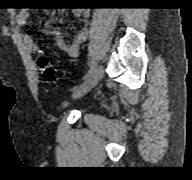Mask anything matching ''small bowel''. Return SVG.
Here are the masks:
<instances>
[{
	"mask_svg": "<svg viewBox=\"0 0 192 180\" xmlns=\"http://www.w3.org/2000/svg\"><path fill=\"white\" fill-rule=\"evenodd\" d=\"M73 16L76 18H79L81 15H84V17H87L89 12L88 11H82L79 8H74L72 10ZM28 10L27 9H21L18 11L16 15V21L19 25L23 26L27 24L28 20ZM50 34H53L56 38V45L63 50L68 56L72 58H76L80 54L81 46L82 44L88 39L89 33L87 28L83 27L72 39V41L69 44H66L60 31L52 28L48 31ZM22 40L28 51L30 52H36L38 50V46L34 42L33 37L28 34L24 33L22 35Z\"/></svg>",
	"mask_w": 192,
	"mask_h": 180,
	"instance_id": "c3829d8e",
	"label": "small bowel"
}]
</instances>
